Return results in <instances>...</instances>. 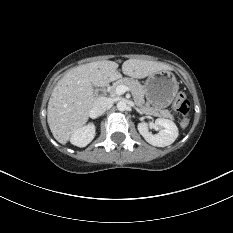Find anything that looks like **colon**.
I'll return each mask as SVG.
<instances>
[{
    "instance_id": "obj_1",
    "label": "colon",
    "mask_w": 233,
    "mask_h": 233,
    "mask_svg": "<svg viewBox=\"0 0 233 233\" xmlns=\"http://www.w3.org/2000/svg\"><path fill=\"white\" fill-rule=\"evenodd\" d=\"M176 111L182 116L181 126L187 127L189 124L188 115L190 113L191 104L183 92H179L174 101Z\"/></svg>"
}]
</instances>
